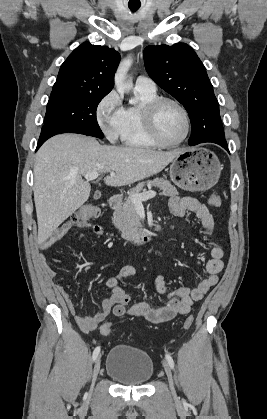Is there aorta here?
<instances>
[{
  "label": "aorta",
  "mask_w": 267,
  "mask_h": 419,
  "mask_svg": "<svg viewBox=\"0 0 267 419\" xmlns=\"http://www.w3.org/2000/svg\"><path fill=\"white\" fill-rule=\"evenodd\" d=\"M131 65H132V58L128 56L127 58L121 61L116 71L115 86L118 93H120L121 95L129 92L133 87V83L131 81L126 80L127 73ZM131 103L135 104L136 101L133 100Z\"/></svg>",
  "instance_id": "aorta-1"
}]
</instances>
